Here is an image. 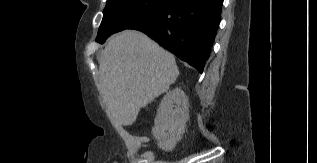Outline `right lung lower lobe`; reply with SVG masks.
Instances as JSON below:
<instances>
[{
	"mask_svg": "<svg viewBox=\"0 0 317 163\" xmlns=\"http://www.w3.org/2000/svg\"><path fill=\"white\" fill-rule=\"evenodd\" d=\"M223 0H170L160 11L131 26L203 72L217 33Z\"/></svg>",
	"mask_w": 317,
	"mask_h": 163,
	"instance_id": "obj_1",
	"label": "right lung lower lobe"
}]
</instances>
